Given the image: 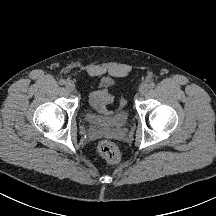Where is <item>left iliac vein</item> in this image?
Returning a JSON list of instances; mask_svg holds the SVG:
<instances>
[{"label": "left iliac vein", "instance_id": "left-iliac-vein-1", "mask_svg": "<svg viewBox=\"0 0 216 216\" xmlns=\"http://www.w3.org/2000/svg\"><path fill=\"white\" fill-rule=\"evenodd\" d=\"M149 90V86L147 84H143L139 88L140 95H145Z\"/></svg>", "mask_w": 216, "mask_h": 216}]
</instances>
